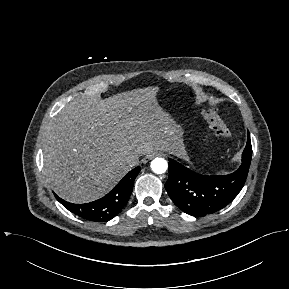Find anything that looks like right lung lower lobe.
I'll list each match as a JSON object with an SVG mask.
<instances>
[{
    "instance_id": "right-lung-lower-lobe-1",
    "label": "right lung lower lobe",
    "mask_w": 289,
    "mask_h": 289,
    "mask_svg": "<svg viewBox=\"0 0 289 289\" xmlns=\"http://www.w3.org/2000/svg\"><path fill=\"white\" fill-rule=\"evenodd\" d=\"M139 171L140 167L131 170L106 196L90 203L73 204L66 202L57 195L55 197L69 211L82 218L96 222L110 220L129 200L134 180Z\"/></svg>"
}]
</instances>
